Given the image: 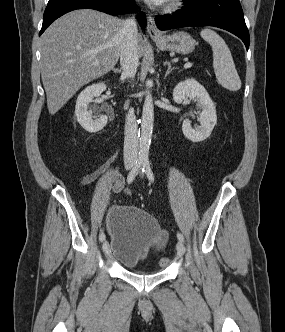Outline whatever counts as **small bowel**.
Listing matches in <instances>:
<instances>
[{"label": "small bowel", "instance_id": "1", "mask_svg": "<svg viewBox=\"0 0 285 332\" xmlns=\"http://www.w3.org/2000/svg\"><path fill=\"white\" fill-rule=\"evenodd\" d=\"M99 175V172H93L90 174H87L81 178V184L82 185H89L91 184ZM124 179L119 173L118 169H115L114 171V185H113V191L114 192H120L123 189Z\"/></svg>", "mask_w": 285, "mask_h": 332}]
</instances>
